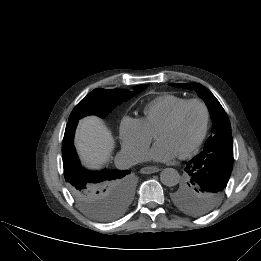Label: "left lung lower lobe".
<instances>
[{"mask_svg": "<svg viewBox=\"0 0 261 261\" xmlns=\"http://www.w3.org/2000/svg\"><path fill=\"white\" fill-rule=\"evenodd\" d=\"M192 170H195V168H190V167H188L187 172H188V173H191ZM193 173H195V172H193Z\"/></svg>", "mask_w": 261, "mask_h": 261, "instance_id": "obj_1", "label": "left lung lower lobe"}]
</instances>
